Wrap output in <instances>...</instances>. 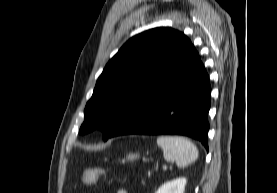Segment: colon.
<instances>
[{
	"mask_svg": "<svg viewBox=\"0 0 277 193\" xmlns=\"http://www.w3.org/2000/svg\"><path fill=\"white\" fill-rule=\"evenodd\" d=\"M104 171L101 169H86L82 174V181L85 184H92L98 181L103 175Z\"/></svg>",
	"mask_w": 277,
	"mask_h": 193,
	"instance_id": "5ec220e1",
	"label": "colon"
}]
</instances>
